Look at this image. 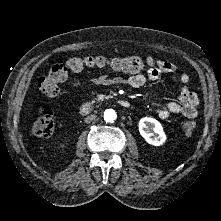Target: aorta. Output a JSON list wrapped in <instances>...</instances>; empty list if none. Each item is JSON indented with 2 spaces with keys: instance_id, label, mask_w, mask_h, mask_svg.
Returning <instances> with one entry per match:
<instances>
[{
  "instance_id": "obj_1",
  "label": "aorta",
  "mask_w": 221,
  "mask_h": 221,
  "mask_svg": "<svg viewBox=\"0 0 221 221\" xmlns=\"http://www.w3.org/2000/svg\"><path fill=\"white\" fill-rule=\"evenodd\" d=\"M117 118V114L113 109H107L104 112V120L106 122H113L114 120H116Z\"/></svg>"
}]
</instances>
